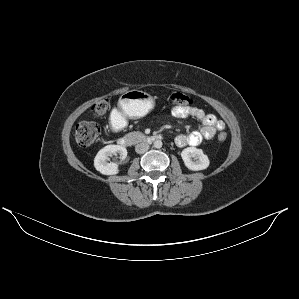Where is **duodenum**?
<instances>
[{"instance_id":"duodenum-1","label":"duodenum","mask_w":299,"mask_h":299,"mask_svg":"<svg viewBox=\"0 0 299 299\" xmlns=\"http://www.w3.org/2000/svg\"><path fill=\"white\" fill-rule=\"evenodd\" d=\"M160 139H161L160 135H150V136L146 137V142L154 143ZM118 143L120 146L126 147L131 144V139L129 137L124 136V137L119 138Z\"/></svg>"}]
</instances>
